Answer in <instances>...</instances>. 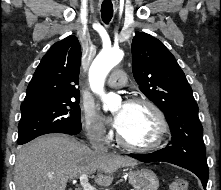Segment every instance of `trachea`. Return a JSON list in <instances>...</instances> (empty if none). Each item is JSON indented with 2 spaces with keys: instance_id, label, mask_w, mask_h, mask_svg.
<instances>
[{
  "instance_id": "obj_1",
  "label": "trachea",
  "mask_w": 221,
  "mask_h": 190,
  "mask_svg": "<svg viewBox=\"0 0 221 190\" xmlns=\"http://www.w3.org/2000/svg\"><path fill=\"white\" fill-rule=\"evenodd\" d=\"M101 17L104 23H109L113 17V5L110 1H103L101 5Z\"/></svg>"
}]
</instances>
